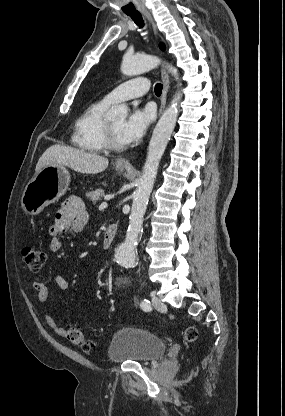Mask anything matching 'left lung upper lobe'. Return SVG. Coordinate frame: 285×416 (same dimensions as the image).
<instances>
[{
	"label": "left lung upper lobe",
	"mask_w": 285,
	"mask_h": 416,
	"mask_svg": "<svg viewBox=\"0 0 285 416\" xmlns=\"http://www.w3.org/2000/svg\"><path fill=\"white\" fill-rule=\"evenodd\" d=\"M160 48H161L162 50H164V49H165V47H164V45H163V44H160Z\"/></svg>",
	"instance_id": "1"
}]
</instances>
